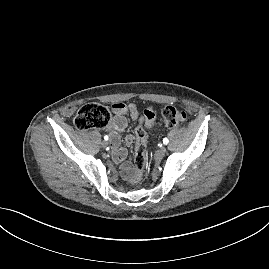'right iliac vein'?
<instances>
[{
	"label": "right iliac vein",
	"instance_id": "1",
	"mask_svg": "<svg viewBox=\"0 0 269 269\" xmlns=\"http://www.w3.org/2000/svg\"><path fill=\"white\" fill-rule=\"evenodd\" d=\"M101 146H102V148H106L108 146V142L107 141H102Z\"/></svg>",
	"mask_w": 269,
	"mask_h": 269
}]
</instances>
